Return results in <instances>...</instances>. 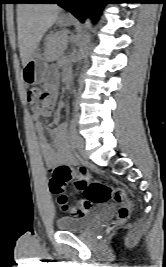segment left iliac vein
Segmentation results:
<instances>
[{"label":"left iliac vein","mask_w":166,"mask_h":267,"mask_svg":"<svg viewBox=\"0 0 166 267\" xmlns=\"http://www.w3.org/2000/svg\"><path fill=\"white\" fill-rule=\"evenodd\" d=\"M75 147L82 157L87 158V152L85 150V141L79 135H76Z\"/></svg>","instance_id":"1"}]
</instances>
